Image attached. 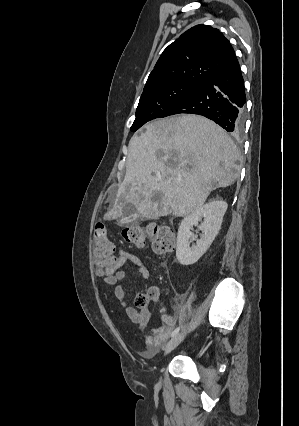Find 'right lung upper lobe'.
I'll list each match as a JSON object with an SVG mask.
<instances>
[{"label": "right lung upper lobe", "mask_w": 299, "mask_h": 426, "mask_svg": "<svg viewBox=\"0 0 299 426\" xmlns=\"http://www.w3.org/2000/svg\"><path fill=\"white\" fill-rule=\"evenodd\" d=\"M236 61L231 44L218 29L197 25L163 51L144 90L175 82L201 86Z\"/></svg>", "instance_id": "obj_1"}]
</instances>
